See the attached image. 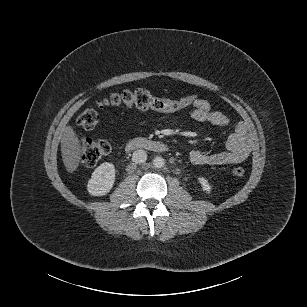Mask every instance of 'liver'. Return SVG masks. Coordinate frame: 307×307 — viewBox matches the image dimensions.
Wrapping results in <instances>:
<instances>
[{
	"label": "liver",
	"mask_w": 307,
	"mask_h": 307,
	"mask_svg": "<svg viewBox=\"0 0 307 307\" xmlns=\"http://www.w3.org/2000/svg\"><path fill=\"white\" fill-rule=\"evenodd\" d=\"M61 153L66 170L69 173L74 172L79 165L81 145L71 126H66L62 130Z\"/></svg>",
	"instance_id": "liver-1"
}]
</instances>
